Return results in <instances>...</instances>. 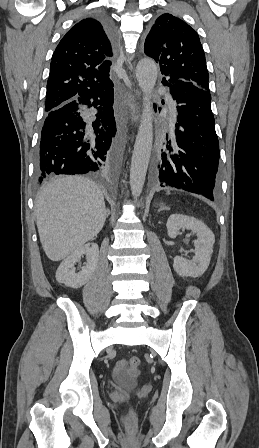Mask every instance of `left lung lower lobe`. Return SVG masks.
<instances>
[{
  "label": "left lung lower lobe",
  "mask_w": 259,
  "mask_h": 448,
  "mask_svg": "<svg viewBox=\"0 0 259 448\" xmlns=\"http://www.w3.org/2000/svg\"><path fill=\"white\" fill-rule=\"evenodd\" d=\"M177 106V122L153 172L155 184L202 195L210 200L219 187V142L211 94L193 82L162 81ZM168 136V135H167Z\"/></svg>",
  "instance_id": "obj_1"
}]
</instances>
